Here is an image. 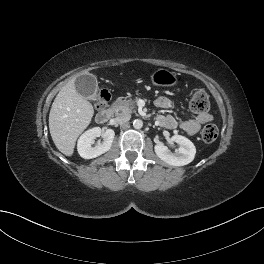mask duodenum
Here are the masks:
<instances>
[{"mask_svg": "<svg viewBox=\"0 0 264 264\" xmlns=\"http://www.w3.org/2000/svg\"><path fill=\"white\" fill-rule=\"evenodd\" d=\"M112 115H113V112L111 109L101 110L96 116V121L99 124H106L112 118Z\"/></svg>", "mask_w": 264, "mask_h": 264, "instance_id": "1", "label": "duodenum"}]
</instances>
